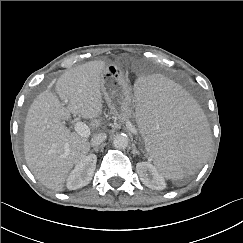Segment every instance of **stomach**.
<instances>
[{
    "mask_svg": "<svg viewBox=\"0 0 243 243\" xmlns=\"http://www.w3.org/2000/svg\"><path fill=\"white\" fill-rule=\"evenodd\" d=\"M101 78V90L111 112L121 122L133 117V95L122 70L116 65L109 64L103 71Z\"/></svg>",
    "mask_w": 243,
    "mask_h": 243,
    "instance_id": "obj_1",
    "label": "stomach"
}]
</instances>
